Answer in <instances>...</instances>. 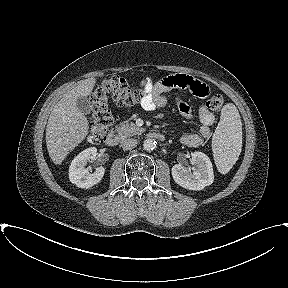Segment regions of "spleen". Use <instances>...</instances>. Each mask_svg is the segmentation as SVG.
Listing matches in <instances>:
<instances>
[{
  "mask_svg": "<svg viewBox=\"0 0 288 288\" xmlns=\"http://www.w3.org/2000/svg\"><path fill=\"white\" fill-rule=\"evenodd\" d=\"M242 149V123L236 106L228 103L212 138L213 157L218 171L227 174L238 160Z\"/></svg>",
  "mask_w": 288,
  "mask_h": 288,
  "instance_id": "obj_1",
  "label": "spleen"
}]
</instances>
